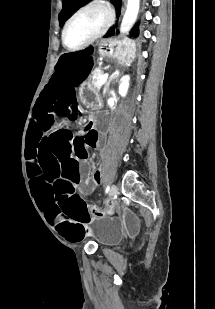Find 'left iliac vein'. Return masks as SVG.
Wrapping results in <instances>:
<instances>
[{"label": "left iliac vein", "mask_w": 215, "mask_h": 309, "mask_svg": "<svg viewBox=\"0 0 215 309\" xmlns=\"http://www.w3.org/2000/svg\"><path fill=\"white\" fill-rule=\"evenodd\" d=\"M117 191H118L117 185L113 184V185L111 186L110 190H109V196H110V197L115 196L116 193H117Z\"/></svg>", "instance_id": "obj_1"}]
</instances>
